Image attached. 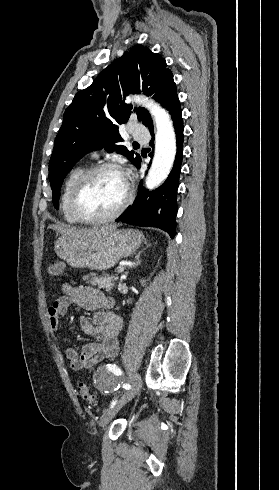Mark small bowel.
<instances>
[{"instance_id":"small-bowel-1","label":"small bowel","mask_w":279,"mask_h":490,"mask_svg":"<svg viewBox=\"0 0 279 490\" xmlns=\"http://www.w3.org/2000/svg\"><path fill=\"white\" fill-rule=\"evenodd\" d=\"M62 290L63 295L54 300L47 311L51 330L59 332L60 317L71 304H75L92 313L91 317H80L79 323L83 332L96 338V342L84 346L80 354L72 347L66 349L65 356L71 369L78 371L91 368L104 360L117 357L120 350L118 336L123 321L112 311L115 300L91 286L65 284Z\"/></svg>"}]
</instances>
